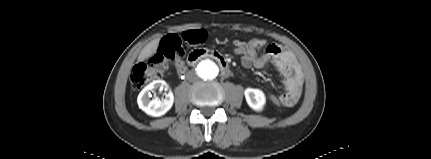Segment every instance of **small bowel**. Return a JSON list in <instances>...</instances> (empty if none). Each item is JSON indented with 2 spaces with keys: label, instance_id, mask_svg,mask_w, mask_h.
Wrapping results in <instances>:
<instances>
[{
  "label": "small bowel",
  "instance_id": "c3829d8e",
  "mask_svg": "<svg viewBox=\"0 0 431 159\" xmlns=\"http://www.w3.org/2000/svg\"><path fill=\"white\" fill-rule=\"evenodd\" d=\"M234 47H243L240 56L245 68L262 69L272 65L282 78L285 92L277 97V106L292 107L299 100L303 87V73L293 53L278 44H269L266 39L255 38L248 42L235 40ZM182 60L177 61V70L185 71Z\"/></svg>",
  "mask_w": 431,
  "mask_h": 159
}]
</instances>
